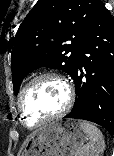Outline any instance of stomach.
<instances>
[{"label":"stomach","instance_id":"0dacf381","mask_svg":"<svg viewBox=\"0 0 114 156\" xmlns=\"http://www.w3.org/2000/svg\"><path fill=\"white\" fill-rule=\"evenodd\" d=\"M87 140L79 120L50 123L30 136L21 156H78Z\"/></svg>","mask_w":114,"mask_h":156}]
</instances>
